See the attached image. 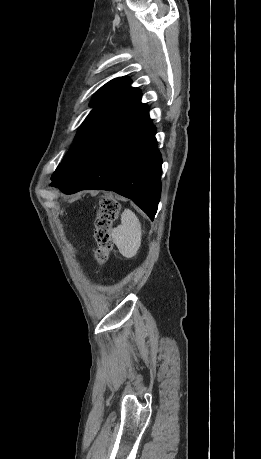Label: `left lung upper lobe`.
Masks as SVG:
<instances>
[{"label":"left lung upper lobe","instance_id":"5c2ea615","mask_svg":"<svg viewBox=\"0 0 261 459\" xmlns=\"http://www.w3.org/2000/svg\"><path fill=\"white\" fill-rule=\"evenodd\" d=\"M128 77L102 86L90 103L93 110L80 126L74 143L53 173L51 186L58 187L94 154L144 105L141 92Z\"/></svg>","mask_w":261,"mask_h":459}]
</instances>
